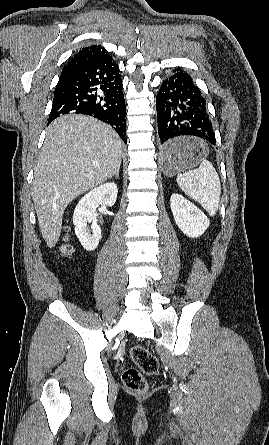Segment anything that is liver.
I'll list each match as a JSON object with an SVG mask.
<instances>
[{"label":"liver","instance_id":"obj_1","mask_svg":"<svg viewBox=\"0 0 269 445\" xmlns=\"http://www.w3.org/2000/svg\"><path fill=\"white\" fill-rule=\"evenodd\" d=\"M122 148L118 134L93 117L69 114L50 124L33 180V201L48 247L59 240L68 204L112 177L121 165Z\"/></svg>","mask_w":269,"mask_h":445}]
</instances>
